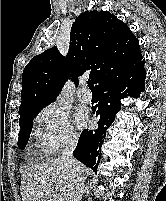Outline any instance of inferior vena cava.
Wrapping results in <instances>:
<instances>
[{
	"instance_id": "602c4592",
	"label": "inferior vena cava",
	"mask_w": 166,
	"mask_h": 201,
	"mask_svg": "<svg viewBox=\"0 0 166 201\" xmlns=\"http://www.w3.org/2000/svg\"><path fill=\"white\" fill-rule=\"evenodd\" d=\"M77 146L76 138H69L62 153V160L70 169L73 186L69 201H81L84 193V179L82 176L81 164L73 157V151Z\"/></svg>"
}]
</instances>
